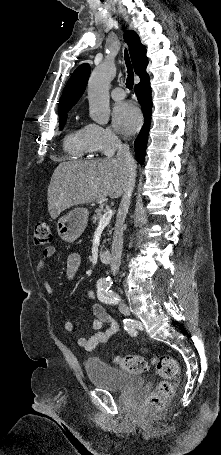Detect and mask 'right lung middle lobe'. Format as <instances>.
I'll return each instance as SVG.
<instances>
[{
    "label": "right lung middle lobe",
    "mask_w": 221,
    "mask_h": 455,
    "mask_svg": "<svg viewBox=\"0 0 221 455\" xmlns=\"http://www.w3.org/2000/svg\"><path fill=\"white\" fill-rule=\"evenodd\" d=\"M69 111V109H63V110H59V128L62 129L65 125V122H66V118H67V112Z\"/></svg>",
    "instance_id": "right-lung-middle-lobe-1"
}]
</instances>
